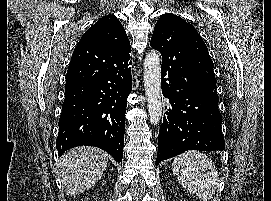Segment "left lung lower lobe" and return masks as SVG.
<instances>
[{"instance_id": "1", "label": "left lung lower lobe", "mask_w": 271, "mask_h": 201, "mask_svg": "<svg viewBox=\"0 0 271 201\" xmlns=\"http://www.w3.org/2000/svg\"><path fill=\"white\" fill-rule=\"evenodd\" d=\"M160 52L162 93L170 105L159 131L156 165L187 150H223L219 99L199 82L182 38Z\"/></svg>"}]
</instances>
